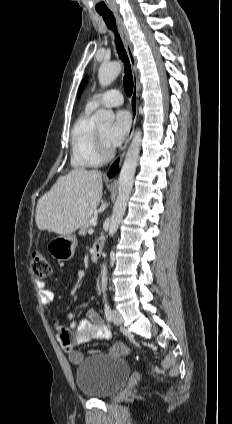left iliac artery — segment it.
<instances>
[{
	"label": "left iliac artery",
	"mask_w": 232,
	"mask_h": 424,
	"mask_svg": "<svg viewBox=\"0 0 232 424\" xmlns=\"http://www.w3.org/2000/svg\"><path fill=\"white\" fill-rule=\"evenodd\" d=\"M103 297H104V302H105V304H104L105 316H106V319L110 322L112 320L111 308L108 304L106 295H104Z\"/></svg>",
	"instance_id": "left-iliac-artery-1"
}]
</instances>
